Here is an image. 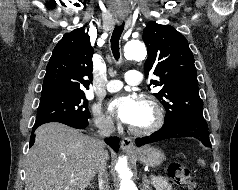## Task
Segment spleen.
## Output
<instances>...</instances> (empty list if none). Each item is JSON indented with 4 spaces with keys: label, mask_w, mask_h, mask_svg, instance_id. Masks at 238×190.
Instances as JSON below:
<instances>
[{
    "label": "spleen",
    "mask_w": 238,
    "mask_h": 190,
    "mask_svg": "<svg viewBox=\"0 0 238 190\" xmlns=\"http://www.w3.org/2000/svg\"><path fill=\"white\" fill-rule=\"evenodd\" d=\"M199 161H200L202 164H204V160L199 159Z\"/></svg>",
    "instance_id": "obj_1"
}]
</instances>
